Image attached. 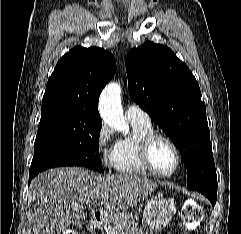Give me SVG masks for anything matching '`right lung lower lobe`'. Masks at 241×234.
Returning <instances> with one entry per match:
<instances>
[{
  "label": "right lung lower lobe",
  "instance_id": "1",
  "mask_svg": "<svg viewBox=\"0 0 241 234\" xmlns=\"http://www.w3.org/2000/svg\"><path fill=\"white\" fill-rule=\"evenodd\" d=\"M61 166H81V164L74 159L63 157V156H53L48 157L36 165H31L29 171V183L32 178H34L38 173L53 167Z\"/></svg>",
  "mask_w": 241,
  "mask_h": 234
}]
</instances>
